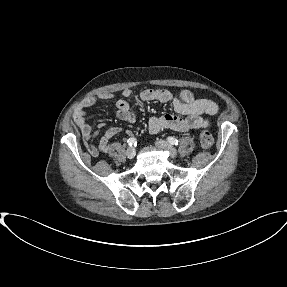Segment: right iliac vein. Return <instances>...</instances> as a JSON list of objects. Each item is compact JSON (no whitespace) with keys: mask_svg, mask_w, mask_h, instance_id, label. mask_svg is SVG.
Listing matches in <instances>:
<instances>
[{"mask_svg":"<svg viewBox=\"0 0 287 287\" xmlns=\"http://www.w3.org/2000/svg\"><path fill=\"white\" fill-rule=\"evenodd\" d=\"M135 155H136V150L134 147L127 148V150H126L127 158L133 159L135 157Z\"/></svg>","mask_w":287,"mask_h":287,"instance_id":"right-iliac-vein-1","label":"right iliac vein"}]
</instances>
